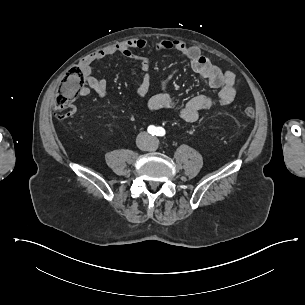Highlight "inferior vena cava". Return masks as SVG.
Masks as SVG:
<instances>
[{
    "instance_id": "obj_1",
    "label": "inferior vena cava",
    "mask_w": 305,
    "mask_h": 305,
    "mask_svg": "<svg viewBox=\"0 0 305 305\" xmlns=\"http://www.w3.org/2000/svg\"><path fill=\"white\" fill-rule=\"evenodd\" d=\"M144 137L140 138V134L137 137V146L141 149V150H151L152 148V144H153V140L150 136H148L147 134H143Z\"/></svg>"
}]
</instances>
